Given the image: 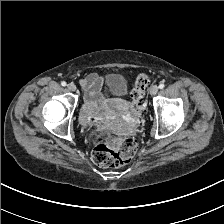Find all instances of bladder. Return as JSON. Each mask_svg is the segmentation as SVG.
Returning a JSON list of instances; mask_svg holds the SVG:
<instances>
[{"mask_svg":"<svg viewBox=\"0 0 224 224\" xmlns=\"http://www.w3.org/2000/svg\"><path fill=\"white\" fill-rule=\"evenodd\" d=\"M108 91L117 97L122 103L126 102V94L129 89L127 80L119 73H110L106 76Z\"/></svg>","mask_w":224,"mask_h":224,"instance_id":"obj_1","label":"bladder"}]
</instances>
